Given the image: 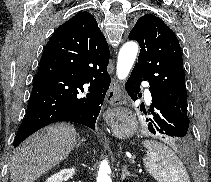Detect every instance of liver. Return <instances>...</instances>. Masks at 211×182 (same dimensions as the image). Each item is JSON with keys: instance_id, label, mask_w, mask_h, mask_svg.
Masks as SVG:
<instances>
[{"instance_id": "obj_1", "label": "liver", "mask_w": 211, "mask_h": 182, "mask_svg": "<svg viewBox=\"0 0 211 182\" xmlns=\"http://www.w3.org/2000/svg\"><path fill=\"white\" fill-rule=\"evenodd\" d=\"M77 136L79 134L73 126L59 123L27 138L11 158V182H34L71 153Z\"/></svg>"}]
</instances>
